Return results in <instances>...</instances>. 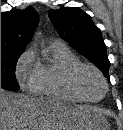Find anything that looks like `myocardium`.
I'll use <instances>...</instances> for the list:
<instances>
[{
    "instance_id": "myocardium-1",
    "label": "myocardium",
    "mask_w": 123,
    "mask_h": 130,
    "mask_svg": "<svg viewBox=\"0 0 123 130\" xmlns=\"http://www.w3.org/2000/svg\"><path fill=\"white\" fill-rule=\"evenodd\" d=\"M87 71L96 74L103 85V92L98 98L95 99L90 98L89 96H87V94L82 88L81 78L82 75ZM67 83L71 91L82 101H86V102H97L101 100L106 94L108 88L107 81L104 75L102 74V72L97 67L86 63L76 64L68 70Z\"/></svg>"
}]
</instances>
